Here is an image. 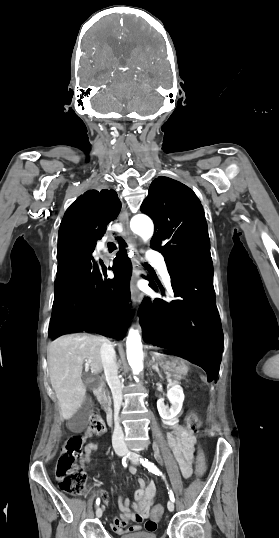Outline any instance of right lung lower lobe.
Instances as JSON below:
<instances>
[{"instance_id": "right-lung-lower-lobe-1", "label": "right lung lower lobe", "mask_w": 279, "mask_h": 538, "mask_svg": "<svg viewBox=\"0 0 279 538\" xmlns=\"http://www.w3.org/2000/svg\"><path fill=\"white\" fill-rule=\"evenodd\" d=\"M114 190H89L66 211L58 232L57 276L49 336L93 331L115 338L127 331L132 265L125 248L113 262L115 277L107 279L92 257L96 241L120 212Z\"/></svg>"}]
</instances>
